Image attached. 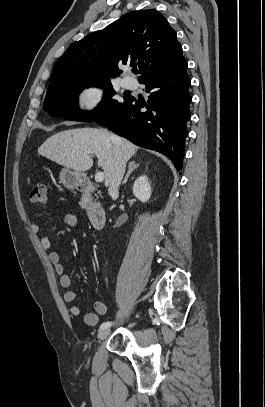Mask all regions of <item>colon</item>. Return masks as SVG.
I'll list each match as a JSON object with an SVG mask.
<instances>
[{
  "instance_id": "1",
  "label": "colon",
  "mask_w": 265,
  "mask_h": 407,
  "mask_svg": "<svg viewBox=\"0 0 265 407\" xmlns=\"http://www.w3.org/2000/svg\"><path fill=\"white\" fill-rule=\"evenodd\" d=\"M30 199L37 204H46L48 201L47 186L44 182H37L30 193Z\"/></svg>"
}]
</instances>
